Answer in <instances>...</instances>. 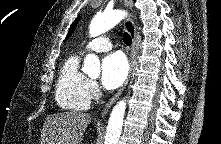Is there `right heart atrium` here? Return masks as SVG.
Instances as JSON below:
<instances>
[{"mask_svg":"<svg viewBox=\"0 0 221 144\" xmlns=\"http://www.w3.org/2000/svg\"><path fill=\"white\" fill-rule=\"evenodd\" d=\"M87 94L90 99H97L100 94L98 83L95 80L89 79L87 84Z\"/></svg>","mask_w":221,"mask_h":144,"instance_id":"d8ad5b80","label":"right heart atrium"}]
</instances>
